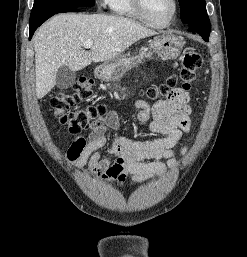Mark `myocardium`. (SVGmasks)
<instances>
[{
  "label": "myocardium",
  "instance_id": "f54148a6",
  "mask_svg": "<svg viewBox=\"0 0 247 257\" xmlns=\"http://www.w3.org/2000/svg\"><path fill=\"white\" fill-rule=\"evenodd\" d=\"M173 1V12L169 20L163 24H158L153 22L149 16L146 13L145 6H144V0H132L133 5L137 13L139 14L140 18L142 21H144L148 26L153 27V28H166L168 27L173 20L175 19L177 12H178V7L179 3L178 0H172Z\"/></svg>",
  "mask_w": 247,
  "mask_h": 257
}]
</instances>
